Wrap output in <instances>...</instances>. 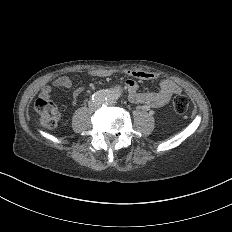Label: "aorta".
I'll return each mask as SVG.
<instances>
[{"mask_svg": "<svg viewBox=\"0 0 232 232\" xmlns=\"http://www.w3.org/2000/svg\"><path fill=\"white\" fill-rule=\"evenodd\" d=\"M120 94V90L115 88V89H112L109 93H108V96H110L111 98H116L118 97Z\"/></svg>", "mask_w": 232, "mask_h": 232, "instance_id": "762f6f07", "label": "aorta"}]
</instances>
